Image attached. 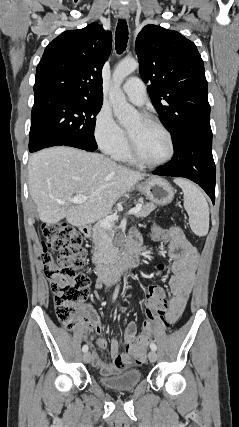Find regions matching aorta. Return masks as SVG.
<instances>
[{
  "mask_svg": "<svg viewBox=\"0 0 239 427\" xmlns=\"http://www.w3.org/2000/svg\"><path fill=\"white\" fill-rule=\"evenodd\" d=\"M138 68V62L134 59L121 61L113 73V87L109 93L110 103L112 105L114 115L121 125H126L137 115L136 109L129 105L125 95L121 90V84L124 79Z\"/></svg>",
  "mask_w": 239,
  "mask_h": 427,
  "instance_id": "aorta-1",
  "label": "aorta"
}]
</instances>
